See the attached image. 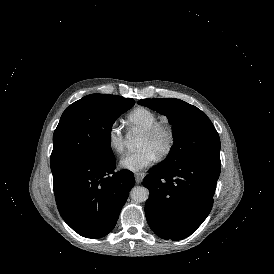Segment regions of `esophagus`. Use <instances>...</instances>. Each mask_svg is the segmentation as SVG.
Instances as JSON below:
<instances>
[{"label": "esophagus", "mask_w": 274, "mask_h": 274, "mask_svg": "<svg viewBox=\"0 0 274 274\" xmlns=\"http://www.w3.org/2000/svg\"><path fill=\"white\" fill-rule=\"evenodd\" d=\"M135 182L137 184L141 183V181L143 180V178L145 177V173H135Z\"/></svg>", "instance_id": "34e87169"}]
</instances>
